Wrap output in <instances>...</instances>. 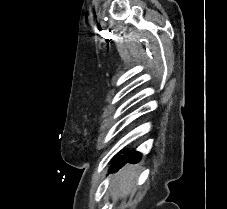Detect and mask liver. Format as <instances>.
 <instances>
[{
    "mask_svg": "<svg viewBox=\"0 0 227 209\" xmlns=\"http://www.w3.org/2000/svg\"><path fill=\"white\" fill-rule=\"evenodd\" d=\"M137 173L134 165H126L122 171L114 177V183H116V195H119V199H123L126 195H129L134 187Z\"/></svg>",
    "mask_w": 227,
    "mask_h": 209,
    "instance_id": "1",
    "label": "liver"
}]
</instances>
